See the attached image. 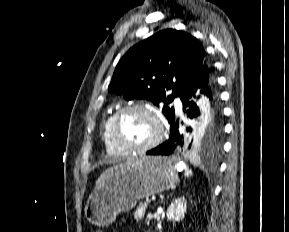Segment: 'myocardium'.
<instances>
[{
    "mask_svg": "<svg viewBox=\"0 0 289 232\" xmlns=\"http://www.w3.org/2000/svg\"><path fill=\"white\" fill-rule=\"evenodd\" d=\"M129 111L145 112L148 115H150L155 121V124L157 127V133H156V136L148 144L143 145V146H130V145L123 143L119 139L118 137L119 120L123 114ZM164 132H165L164 124L158 112L153 107L149 105H145V104H140V103L129 104L118 109L112 118L111 126H110V135H111L112 141L120 150H122L123 152L127 154H142V153H146V152L153 150L154 148L159 146L161 142L163 141Z\"/></svg>",
    "mask_w": 289,
    "mask_h": 232,
    "instance_id": "1",
    "label": "myocardium"
}]
</instances>
